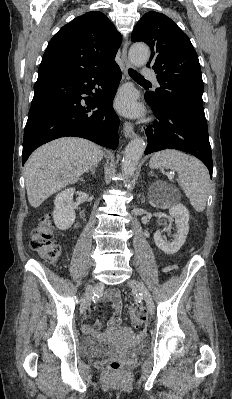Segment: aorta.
Returning <instances> with one entry per match:
<instances>
[{
	"mask_svg": "<svg viewBox=\"0 0 232 399\" xmlns=\"http://www.w3.org/2000/svg\"><path fill=\"white\" fill-rule=\"evenodd\" d=\"M132 65L141 67L150 58L149 47L143 43L133 44L128 54ZM145 150V142L142 138L133 139L127 146L123 158V172L125 175H133Z\"/></svg>",
	"mask_w": 232,
	"mask_h": 399,
	"instance_id": "762f6f07",
	"label": "aorta"
}]
</instances>
